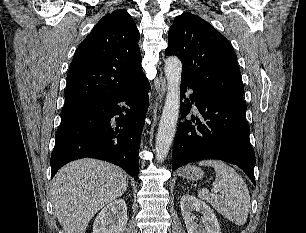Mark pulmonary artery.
<instances>
[{
    "label": "pulmonary artery",
    "instance_id": "pulmonary-artery-1",
    "mask_svg": "<svg viewBox=\"0 0 306 233\" xmlns=\"http://www.w3.org/2000/svg\"><path fill=\"white\" fill-rule=\"evenodd\" d=\"M187 93L190 95L192 94V90L191 89H187Z\"/></svg>",
    "mask_w": 306,
    "mask_h": 233
}]
</instances>
